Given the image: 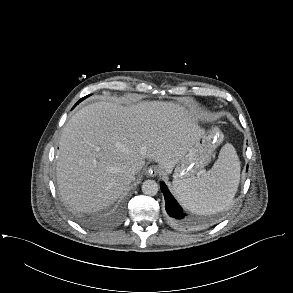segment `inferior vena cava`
<instances>
[{"instance_id":"1","label":"inferior vena cava","mask_w":293,"mask_h":293,"mask_svg":"<svg viewBox=\"0 0 293 293\" xmlns=\"http://www.w3.org/2000/svg\"><path fill=\"white\" fill-rule=\"evenodd\" d=\"M142 169V165L140 163H134L131 168L130 171L133 174H137L140 170Z\"/></svg>"}]
</instances>
